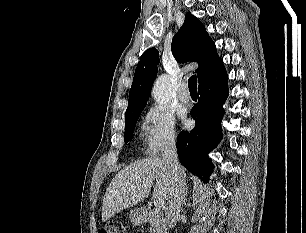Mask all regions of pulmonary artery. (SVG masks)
Wrapping results in <instances>:
<instances>
[{
  "instance_id": "e3ab8cb5",
  "label": "pulmonary artery",
  "mask_w": 306,
  "mask_h": 233,
  "mask_svg": "<svg viewBox=\"0 0 306 233\" xmlns=\"http://www.w3.org/2000/svg\"><path fill=\"white\" fill-rule=\"evenodd\" d=\"M178 98L181 102L187 103L190 101V94L187 90V85L183 84L181 89L178 92Z\"/></svg>"
}]
</instances>
